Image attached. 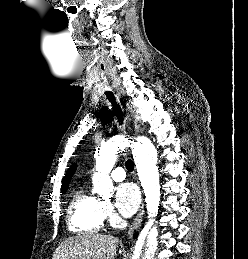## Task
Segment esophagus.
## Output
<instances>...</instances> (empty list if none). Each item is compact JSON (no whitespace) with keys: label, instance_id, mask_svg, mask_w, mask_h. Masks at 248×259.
<instances>
[{"label":"esophagus","instance_id":"obj_1","mask_svg":"<svg viewBox=\"0 0 248 259\" xmlns=\"http://www.w3.org/2000/svg\"><path fill=\"white\" fill-rule=\"evenodd\" d=\"M127 108V112H126V120L128 123H131L133 122V126H134V129H135V133H138L140 131V125L138 124V119H137V116H135L134 114V110L132 109V106L127 102L126 104ZM144 212H145V209H144V202L142 200V203H141V206L139 208V211H138V214L136 215L130 229H129V238H131L132 234L134 231H136L140 225H141V222L143 220V215H144Z\"/></svg>","mask_w":248,"mask_h":259}]
</instances>
